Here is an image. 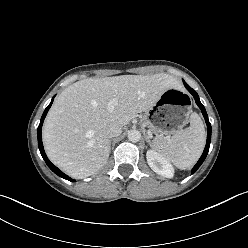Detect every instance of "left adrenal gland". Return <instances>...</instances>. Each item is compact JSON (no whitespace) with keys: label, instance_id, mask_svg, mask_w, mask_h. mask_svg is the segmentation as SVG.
<instances>
[{"label":"left adrenal gland","instance_id":"1","mask_svg":"<svg viewBox=\"0 0 248 248\" xmlns=\"http://www.w3.org/2000/svg\"><path fill=\"white\" fill-rule=\"evenodd\" d=\"M146 141H147V143H149V145H151V140H150L149 136H147V135H146Z\"/></svg>","mask_w":248,"mask_h":248}]
</instances>
